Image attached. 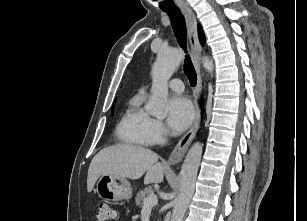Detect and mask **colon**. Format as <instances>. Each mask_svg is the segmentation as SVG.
Returning a JSON list of instances; mask_svg holds the SVG:
<instances>
[{
    "label": "colon",
    "mask_w": 307,
    "mask_h": 221,
    "mask_svg": "<svg viewBox=\"0 0 307 221\" xmlns=\"http://www.w3.org/2000/svg\"><path fill=\"white\" fill-rule=\"evenodd\" d=\"M97 217L99 221H109L114 219V210L110 203L105 201H100L97 205Z\"/></svg>",
    "instance_id": "obj_1"
}]
</instances>
